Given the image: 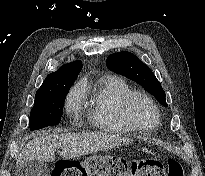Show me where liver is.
I'll return each mask as SVG.
<instances>
[{"label":"liver","instance_id":"obj_1","mask_svg":"<svg viewBox=\"0 0 205 176\" xmlns=\"http://www.w3.org/2000/svg\"><path fill=\"white\" fill-rule=\"evenodd\" d=\"M129 142L126 137L107 133L43 134L26 144L18 156L16 167L31 161L53 162L57 148L61 149V157L70 159Z\"/></svg>","mask_w":205,"mask_h":176}]
</instances>
